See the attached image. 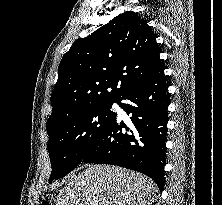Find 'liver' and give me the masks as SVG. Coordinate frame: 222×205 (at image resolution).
<instances>
[{
  "label": "liver",
  "mask_w": 222,
  "mask_h": 205,
  "mask_svg": "<svg viewBox=\"0 0 222 205\" xmlns=\"http://www.w3.org/2000/svg\"><path fill=\"white\" fill-rule=\"evenodd\" d=\"M157 193L155 183L140 173L89 165L59 192L56 205H151Z\"/></svg>",
  "instance_id": "obj_1"
}]
</instances>
